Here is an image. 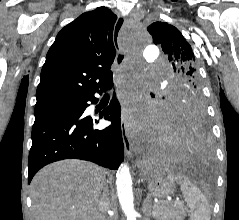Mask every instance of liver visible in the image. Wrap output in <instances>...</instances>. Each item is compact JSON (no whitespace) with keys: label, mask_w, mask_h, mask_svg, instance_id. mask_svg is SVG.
<instances>
[{"label":"liver","mask_w":239,"mask_h":220,"mask_svg":"<svg viewBox=\"0 0 239 220\" xmlns=\"http://www.w3.org/2000/svg\"><path fill=\"white\" fill-rule=\"evenodd\" d=\"M106 173L75 159L42 168L30 185L34 220H95Z\"/></svg>","instance_id":"obj_1"}]
</instances>
